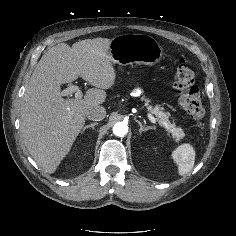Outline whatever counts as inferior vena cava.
Wrapping results in <instances>:
<instances>
[{
  "label": "inferior vena cava",
  "mask_w": 236,
  "mask_h": 236,
  "mask_svg": "<svg viewBox=\"0 0 236 236\" xmlns=\"http://www.w3.org/2000/svg\"><path fill=\"white\" fill-rule=\"evenodd\" d=\"M105 116L106 110L100 105L93 106L86 112V117L93 121H101L105 118Z\"/></svg>",
  "instance_id": "obj_1"
}]
</instances>
